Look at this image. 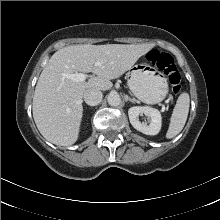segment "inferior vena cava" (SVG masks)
Instances as JSON below:
<instances>
[{"label":"inferior vena cava","instance_id":"inferior-vena-cava-1","mask_svg":"<svg viewBox=\"0 0 220 220\" xmlns=\"http://www.w3.org/2000/svg\"><path fill=\"white\" fill-rule=\"evenodd\" d=\"M84 101L90 106H96L102 101V92L96 89H87L84 92Z\"/></svg>","mask_w":220,"mask_h":220}]
</instances>
